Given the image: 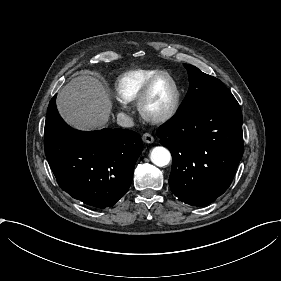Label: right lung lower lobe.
Segmentation results:
<instances>
[{"label":"right lung lower lobe","mask_w":281,"mask_h":281,"mask_svg":"<svg viewBox=\"0 0 281 281\" xmlns=\"http://www.w3.org/2000/svg\"><path fill=\"white\" fill-rule=\"evenodd\" d=\"M55 99L48 106L44 146L59 186L86 205L113 206L132 182L141 138L127 129L75 130L60 117Z\"/></svg>","instance_id":"98d812e1"}]
</instances>
